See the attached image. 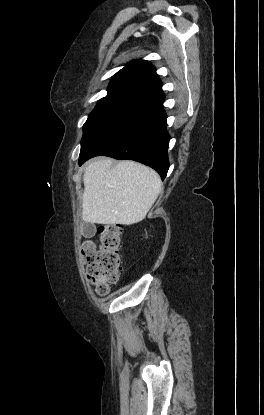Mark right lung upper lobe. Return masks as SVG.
Returning a JSON list of instances; mask_svg holds the SVG:
<instances>
[{
    "label": "right lung upper lobe",
    "instance_id": "1",
    "mask_svg": "<svg viewBox=\"0 0 264 415\" xmlns=\"http://www.w3.org/2000/svg\"><path fill=\"white\" fill-rule=\"evenodd\" d=\"M163 94L155 67L145 60L128 63L111 79L107 95H123L148 100Z\"/></svg>",
    "mask_w": 264,
    "mask_h": 415
}]
</instances>
